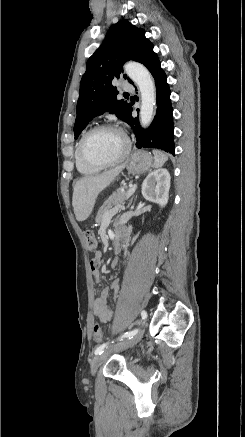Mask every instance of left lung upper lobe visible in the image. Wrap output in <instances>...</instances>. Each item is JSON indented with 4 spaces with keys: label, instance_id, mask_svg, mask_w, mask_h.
<instances>
[{
    "label": "left lung upper lobe",
    "instance_id": "1",
    "mask_svg": "<svg viewBox=\"0 0 245 437\" xmlns=\"http://www.w3.org/2000/svg\"><path fill=\"white\" fill-rule=\"evenodd\" d=\"M152 48L153 44L145 37L144 29L137 28L126 19L110 27L102 45L88 59L86 72L81 79L74 125L75 139L94 117L105 112L116 114L126 121L130 104L117 100L118 91L112 81L123 76L131 83L127 75H123L124 62H141Z\"/></svg>",
    "mask_w": 245,
    "mask_h": 437
}]
</instances>
